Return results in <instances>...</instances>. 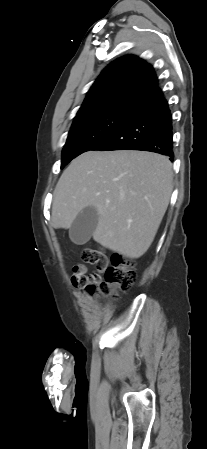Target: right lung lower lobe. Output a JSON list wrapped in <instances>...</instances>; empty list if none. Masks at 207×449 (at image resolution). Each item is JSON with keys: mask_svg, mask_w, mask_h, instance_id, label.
Returning <instances> with one entry per match:
<instances>
[{"mask_svg": "<svg viewBox=\"0 0 207 449\" xmlns=\"http://www.w3.org/2000/svg\"><path fill=\"white\" fill-rule=\"evenodd\" d=\"M92 150H142L173 161L172 115L165 97L142 107Z\"/></svg>", "mask_w": 207, "mask_h": 449, "instance_id": "1", "label": "right lung lower lobe"}]
</instances>
